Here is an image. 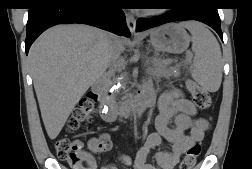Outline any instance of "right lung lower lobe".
Here are the masks:
<instances>
[{
    "instance_id": "obj_1",
    "label": "right lung lower lobe",
    "mask_w": 252,
    "mask_h": 169,
    "mask_svg": "<svg viewBox=\"0 0 252 169\" xmlns=\"http://www.w3.org/2000/svg\"><path fill=\"white\" fill-rule=\"evenodd\" d=\"M117 0H36L29 8L26 54L36 38L57 24L82 23L130 37Z\"/></svg>"
}]
</instances>
